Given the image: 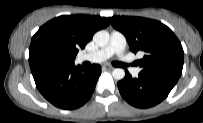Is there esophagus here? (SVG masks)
Returning a JSON list of instances; mask_svg holds the SVG:
<instances>
[{
    "instance_id": "obj_1",
    "label": "esophagus",
    "mask_w": 203,
    "mask_h": 123,
    "mask_svg": "<svg viewBox=\"0 0 203 123\" xmlns=\"http://www.w3.org/2000/svg\"><path fill=\"white\" fill-rule=\"evenodd\" d=\"M102 68H103L104 70H112V69H113V67H112V66H109V65H104Z\"/></svg>"
}]
</instances>
